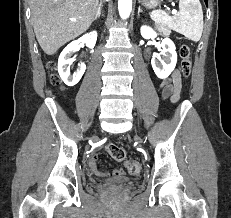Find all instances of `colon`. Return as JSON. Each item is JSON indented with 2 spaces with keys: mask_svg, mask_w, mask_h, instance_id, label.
I'll list each match as a JSON object with an SVG mask.
<instances>
[{
  "mask_svg": "<svg viewBox=\"0 0 231 218\" xmlns=\"http://www.w3.org/2000/svg\"><path fill=\"white\" fill-rule=\"evenodd\" d=\"M179 55L181 58V73L185 78H187L191 73L192 67L190 47L187 44H183L179 49ZM48 68L50 71H54L55 64L53 62H50ZM51 81L55 85H58L60 83L59 77L54 73L51 75ZM105 149L114 160L125 161V167L130 174L138 175L141 172V163L137 160H126V153L122 147L114 143H107L105 145Z\"/></svg>",
  "mask_w": 231,
  "mask_h": 218,
  "instance_id": "colon-1",
  "label": "colon"
}]
</instances>
